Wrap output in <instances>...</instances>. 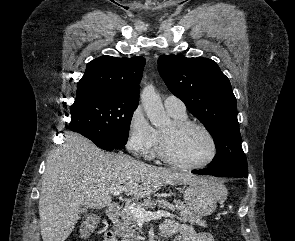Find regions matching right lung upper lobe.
<instances>
[{
  "instance_id": "cb5924a9",
  "label": "right lung upper lobe",
  "mask_w": 295,
  "mask_h": 241,
  "mask_svg": "<svg viewBox=\"0 0 295 241\" xmlns=\"http://www.w3.org/2000/svg\"><path fill=\"white\" fill-rule=\"evenodd\" d=\"M144 57L117 58L101 56L88 63L83 77L77 85L76 99L92 92L139 101V88Z\"/></svg>"
}]
</instances>
